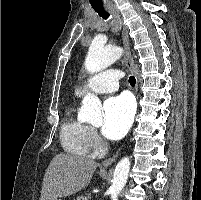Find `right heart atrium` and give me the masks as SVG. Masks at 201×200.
Returning <instances> with one entry per match:
<instances>
[{"label": "right heart atrium", "mask_w": 201, "mask_h": 200, "mask_svg": "<svg viewBox=\"0 0 201 200\" xmlns=\"http://www.w3.org/2000/svg\"><path fill=\"white\" fill-rule=\"evenodd\" d=\"M88 140L90 147L99 150L102 147V140L100 139L98 133L93 128H88Z\"/></svg>", "instance_id": "1"}]
</instances>
